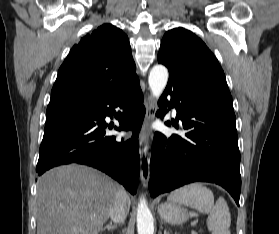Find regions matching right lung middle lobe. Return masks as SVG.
Wrapping results in <instances>:
<instances>
[{
  "instance_id": "right-lung-middle-lobe-1",
  "label": "right lung middle lobe",
  "mask_w": 279,
  "mask_h": 234,
  "mask_svg": "<svg viewBox=\"0 0 279 234\" xmlns=\"http://www.w3.org/2000/svg\"><path fill=\"white\" fill-rule=\"evenodd\" d=\"M79 108H81V107L64 106V107L47 108L46 117H51L54 115L71 112V111L77 110Z\"/></svg>"
}]
</instances>
